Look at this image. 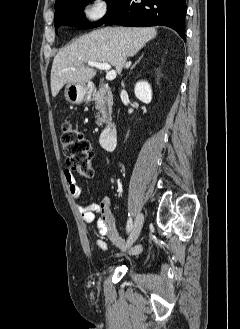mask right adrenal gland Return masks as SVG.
I'll return each instance as SVG.
<instances>
[{
	"mask_svg": "<svg viewBox=\"0 0 240 329\" xmlns=\"http://www.w3.org/2000/svg\"><path fill=\"white\" fill-rule=\"evenodd\" d=\"M143 57V55L139 58V60L131 67V70L140 62L141 58Z\"/></svg>",
	"mask_w": 240,
	"mask_h": 329,
	"instance_id": "obj_1",
	"label": "right adrenal gland"
}]
</instances>
